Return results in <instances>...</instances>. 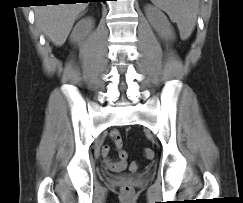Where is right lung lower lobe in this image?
<instances>
[{
    "label": "right lung lower lobe",
    "instance_id": "obj_1",
    "mask_svg": "<svg viewBox=\"0 0 243 203\" xmlns=\"http://www.w3.org/2000/svg\"><path fill=\"white\" fill-rule=\"evenodd\" d=\"M46 1H55V0H40L39 2H38V4H35V5H46L45 4V2ZM59 1H61V2H50V3H68V4H70V3H76L77 1H81V0H59ZM82 1H86L85 3H88V1H91V2H106V0H82Z\"/></svg>",
    "mask_w": 243,
    "mask_h": 203
}]
</instances>
